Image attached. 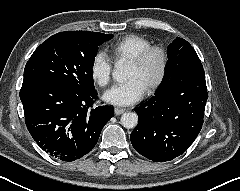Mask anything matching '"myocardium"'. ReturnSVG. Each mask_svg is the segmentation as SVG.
Here are the masks:
<instances>
[{
  "mask_svg": "<svg viewBox=\"0 0 240 191\" xmlns=\"http://www.w3.org/2000/svg\"><path fill=\"white\" fill-rule=\"evenodd\" d=\"M153 54H158L161 60L160 72L157 78L148 85L147 90L153 92L157 90L165 81L168 68H169V56L167 50L161 45H150L135 57L129 60V63L141 66L143 65Z\"/></svg>",
  "mask_w": 240,
  "mask_h": 191,
  "instance_id": "myocardium-1",
  "label": "myocardium"
}]
</instances>
